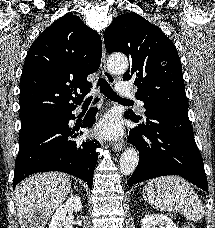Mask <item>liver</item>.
I'll return each instance as SVG.
<instances>
[{"label":"liver","instance_id":"6515ba94","mask_svg":"<svg viewBox=\"0 0 215 228\" xmlns=\"http://www.w3.org/2000/svg\"><path fill=\"white\" fill-rule=\"evenodd\" d=\"M70 190V178L61 172H43L22 180L14 190L20 228H46L49 216Z\"/></svg>","mask_w":215,"mask_h":228}]
</instances>
